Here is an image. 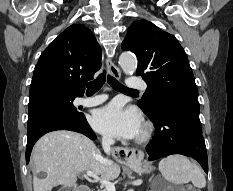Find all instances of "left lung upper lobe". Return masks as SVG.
<instances>
[{"instance_id": "obj_1", "label": "left lung upper lobe", "mask_w": 233, "mask_h": 191, "mask_svg": "<svg viewBox=\"0 0 233 191\" xmlns=\"http://www.w3.org/2000/svg\"><path fill=\"white\" fill-rule=\"evenodd\" d=\"M122 49L138 58L137 75L147 83L139 107L150 114L163 101H182L199 106L198 89L187 55L177 39L147 20L134 21Z\"/></svg>"}]
</instances>
